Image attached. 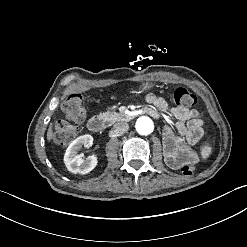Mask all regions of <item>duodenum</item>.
<instances>
[{"mask_svg": "<svg viewBox=\"0 0 247 247\" xmlns=\"http://www.w3.org/2000/svg\"><path fill=\"white\" fill-rule=\"evenodd\" d=\"M87 127L90 131L99 133L106 128V123L104 118L100 116H94L89 119Z\"/></svg>", "mask_w": 247, "mask_h": 247, "instance_id": "obj_1", "label": "duodenum"}]
</instances>
